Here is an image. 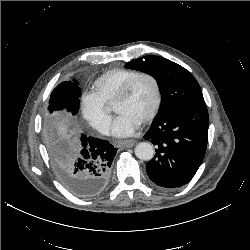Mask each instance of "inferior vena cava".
<instances>
[{"label":"inferior vena cava","mask_w":250,"mask_h":250,"mask_svg":"<svg viewBox=\"0 0 250 250\" xmlns=\"http://www.w3.org/2000/svg\"><path fill=\"white\" fill-rule=\"evenodd\" d=\"M102 133L108 135L109 134V129L108 128H104L102 130Z\"/></svg>","instance_id":"1"}]
</instances>
